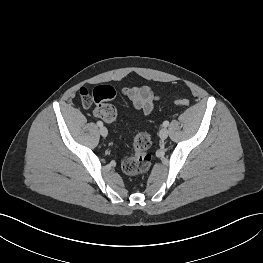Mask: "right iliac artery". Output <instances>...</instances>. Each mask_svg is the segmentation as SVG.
I'll return each mask as SVG.
<instances>
[{
    "label": "right iliac artery",
    "instance_id": "1",
    "mask_svg": "<svg viewBox=\"0 0 263 263\" xmlns=\"http://www.w3.org/2000/svg\"><path fill=\"white\" fill-rule=\"evenodd\" d=\"M97 125H98L99 127H102V126H103V123H102L101 121H98V122H97Z\"/></svg>",
    "mask_w": 263,
    "mask_h": 263
}]
</instances>
